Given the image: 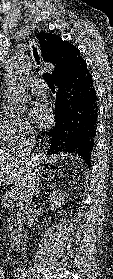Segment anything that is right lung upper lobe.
Here are the masks:
<instances>
[{"label":"right lung upper lobe","instance_id":"obj_1","mask_svg":"<svg viewBox=\"0 0 113 279\" xmlns=\"http://www.w3.org/2000/svg\"><path fill=\"white\" fill-rule=\"evenodd\" d=\"M44 61L54 64L53 81L61 80L75 73L85 61L78 48L62 41L56 34L40 32L37 35Z\"/></svg>","mask_w":113,"mask_h":279}]
</instances>
